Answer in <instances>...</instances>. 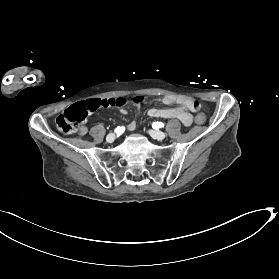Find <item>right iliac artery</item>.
I'll return each mask as SVG.
<instances>
[{
	"label": "right iliac artery",
	"mask_w": 279,
	"mask_h": 279,
	"mask_svg": "<svg viewBox=\"0 0 279 279\" xmlns=\"http://www.w3.org/2000/svg\"><path fill=\"white\" fill-rule=\"evenodd\" d=\"M124 131H125L124 127H117L115 129V133L118 134V135H121Z\"/></svg>",
	"instance_id": "obj_1"
}]
</instances>
